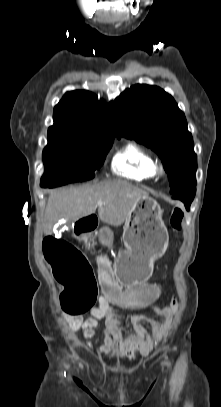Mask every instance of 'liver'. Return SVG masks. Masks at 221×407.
I'll use <instances>...</instances> for the list:
<instances>
[{"label": "liver", "instance_id": "obj_1", "mask_svg": "<svg viewBox=\"0 0 221 407\" xmlns=\"http://www.w3.org/2000/svg\"><path fill=\"white\" fill-rule=\"evenodd\" d=\"M147 193L124 181H106L94 185L51 192L45 209L44 233L51 234L60 219L77 221L93 214L112 226H120L130 216L136 202ZM102 201L103 205L98 206Z\"/></svg>", "mask_w": 221, "mask_h": 407}]
</instances>
